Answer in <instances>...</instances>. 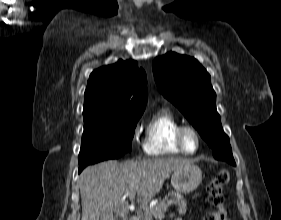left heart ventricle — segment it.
<instances>
[{
    "label": "left heart ventricle",
    "mask_w": 281,
    "mask_h": 220,
    "mask_svg": "<svg viewBox=\"0 0 281 220\" xmlns=\"http://www.w3.org/2000/svg\"><path fill=\"white\" fill-rule=\"evenodd\" d=\"M186 147L188 150L192 151L196 147V139L192 134H187L185 138Z\"/></svg>",
    "instance_id": "left-heart-ventricle-1"
}]
</instances>
